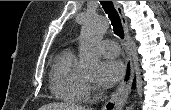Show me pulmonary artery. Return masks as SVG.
<instances>
[{
  "label": "pulmonary artery",
  "mask_w": 171,
  "mask_h": 110,
  "mask_svg": "<svg viewBox=\"0 0 171 110\" xmlns=\"http://www.w3.org/2000/svg\"><path fill=\"white\" fill-rule=\"evenodd\" d=\"M100 49L105 57H115L119 54V46L113 40H104L100 44Z\"/></svg>",
  "instance_id": "obj_1"
}]
</instances>
